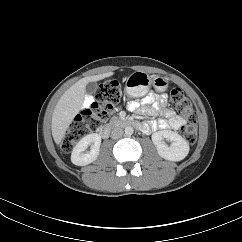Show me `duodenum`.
<instances>
[{
    "label": "duodenum",
    "instance_id": "410a0bca",
    "mask_svg": "<svg viewBox=\"0 0 242 242\" xmlns=\"http://www.w3.org/2000/svg\"><path fill=\"white\" fill-rule=\"evenodd\" d=\"M114 124H122L124 126H131V127H135V123L131 120H124V121H115ZM111 131V127L109 125L104 126L101 131H100V135L103 138H107L110 134Z\"/></svg>",
    "mask_w": 242,
    "mask_h": 242
}]
</instances>
